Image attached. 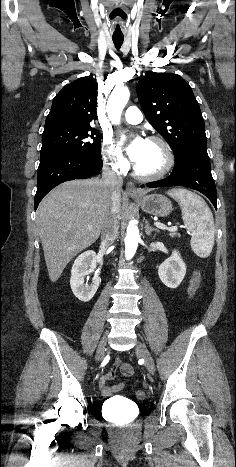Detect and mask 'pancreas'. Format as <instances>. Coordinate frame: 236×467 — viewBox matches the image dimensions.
Masks as SVG:
<instances>
[{
  "label": "pancreas",
  "instance_id": "pancreas-1",
  "mask_svg": "<svg viewBox=\"0 0 236 467\" xmlns=\"http://www.w3.org/2000/svg\"><path fill=\"white\" fill-rule=\"evenodd\" d=\"M169 235H170V237L174 238L175 236H177V233L176 232H171Z\"/></svg>",
  "mask_w": 236,
  "mask_h": 467
}]
</instances>
